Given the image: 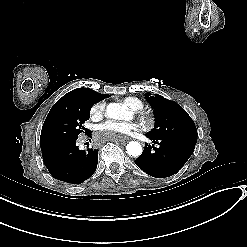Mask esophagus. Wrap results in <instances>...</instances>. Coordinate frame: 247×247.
Here are the masks:
<instances>
[{
	"label": "esophagus",
	"instance_id": "1",
	"mask_svg": "<svg viewBox=\"0 0 247 247\" xmlns=\"http://www.w3.org/2000/svg\"><path fill=\"white\" fill-rule=\"evenodd\" d=\"M136 143H137V145H144V142H143V140L141 138H138L136 140Z\"/></svg>",
	"mask_w": 247,
	"mask_h": 247
}]
</instances>
